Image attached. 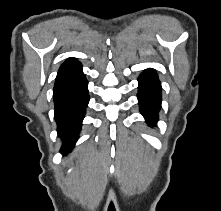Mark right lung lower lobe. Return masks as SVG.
<instances>
[{"label":"right lung lower lobe","instance_id":"98d812e1","mask_svg":"<svg viewBox=\"0 0 221 211\" xmlns=\"http://www.w3.org/2000/svg\"><path fill=\"white\" fill-rule=\"evenodd\" d=\"M88 82L82 66L59 72L53 88L57 132L65 155L74 147L89 102Z\"/></svg>","mask_w":221,"mask_h":211}]
</instances>
